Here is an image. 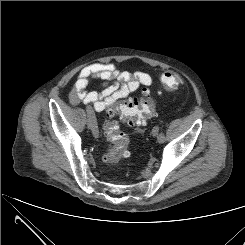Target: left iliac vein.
<instances>
[{
	"label": "left iliac vein",
	"instance_id": "left-iliac-vein-1",
	"mask_svg": "<svg viewBox=\"0 0 245 245\" xmlns=\"http://www.w3.org/2000/svg\"><path fill=\"white\" fill-rule=\"evenodd\" d=\"M158 129H159V127L158 126H155L154 127V129H153V131H152V135L153 136H157L158 135ZM159 137V135L157 136V138ZM159 141V140H158Z\"/></svg>",
	"mask_w": 245,
	"mask_h": 245
}]
</instances>
